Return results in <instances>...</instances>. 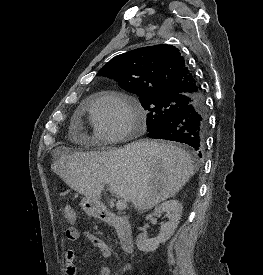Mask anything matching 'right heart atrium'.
I'll return each instance as SVG.
<instances>
[{
  "label": "right heart atrium",
  "mask_w": 263,
  "mask_h": 275,
  "mask_svg": "<svg viewBox=\"0 0 263 275\" xmlns=\"http://www.w3.org/2000/svg\"><path fill=\"white\" fill-rule=\"evenodd\" d=\"M92 120L95 134L102 142H117L137 131V109L118 93H105L92 104Z\"/></svg>",
  "instance_id": "obj_1"
}]
</instances>
